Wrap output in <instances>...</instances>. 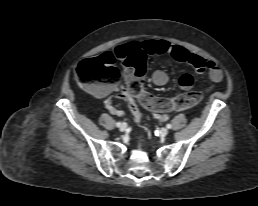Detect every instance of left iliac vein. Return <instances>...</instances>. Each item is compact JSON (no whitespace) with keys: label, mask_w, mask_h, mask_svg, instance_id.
Listing matches in <instances>:
<instances>
[{"label":"left iliac vein","mask_w":258,"mask_h":206,"mask_svg":"<svg viewBox=\"0 0 258 206\" xmlns=\"http://www.w3.org/2000/svg\"><path fill=\"white\" fill-rule=\"evenodd\" d=\"M160 134H161L162 136H166V135L168 134V129L162 128V129L160 130Z\"/></svg>","instance_id":"left-iliac-vein-1"}]
</instances>
